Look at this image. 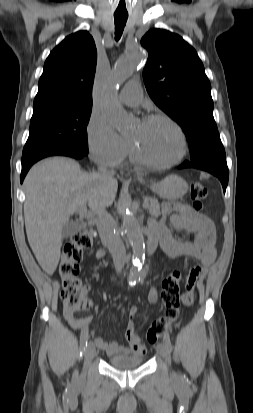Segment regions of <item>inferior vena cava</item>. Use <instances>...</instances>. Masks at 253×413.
I'll return each instance as SVG.
<instances>
[{
    "instance_id": "inferior-vena-cava-1",
    "label": "inferior vena cava",
    "mask_w": 253,
    "mask_h": 413,
    "mask_svg": "<svg viewBox=\"0 0 253 413\" xmlns=\"http://www.w3.org/2000/svg\"><path fill=\"white\" fill-rule=\"evenodd\" d=\"M98 173L103 178L111 179L115 171L108 170L105 166L100 165L98 167ZM97 229L103 244L113 256L116 271L120 272L125 264L126 250L120 234L116 229L115 221L106 210L98 214Z\"/></svg>"
}]
</instances>
